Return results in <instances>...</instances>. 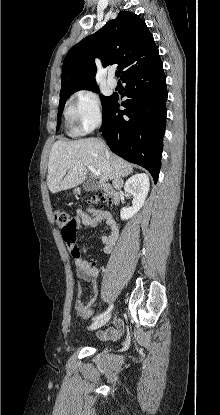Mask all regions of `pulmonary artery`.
<instances>
[{
    "instance_id": "obj_1",
    "label": "pulmonary artery",
    "mask_w": 220,
    "mask_h": 415,
    "mask_svg": "<svg viewBox=\"0 0 220 415\" xmlns=\"http://www.w3.org/2000/svg\"><path fill=\"white\" fill-rule=\"evenodd\" d=\"M107 84L110 88H115L117 86V81L114 78V75H113L112 71H110V73H109V77L107 79Z\"/></svg>"
}]
</instances>
